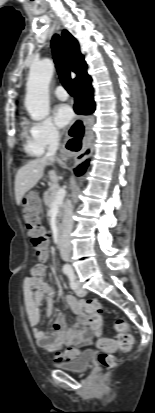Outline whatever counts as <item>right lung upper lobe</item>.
Listing matches in <instances>:
<instances>
[{"label": "right lung upper lobe", "instance_id": "obj_1", "mask_svg": "<svg viewBox=\"0 0 155 413\" xmlns=\"http://www.w3.org/2000/svg\"><path fill=\"white\" fill-rule=\"evenodd\" d=\"M62 36L67 53L69 67L72 71L77 73L76 78H78L86 73L87 65L84 61L83 55L80 53L77 40L67 30L63 31Z\"/></svg>", "mask_w": 155, "mask_h": 413}]
</instances>
